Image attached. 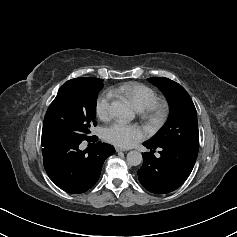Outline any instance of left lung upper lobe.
<instances>
[{
  "label": "left lung upper lobe",
  "instance_id": "5c2ea615",
  "mask_svg": "<svg viewBox=\"0 0 237 237\" xmlns=\"http://www.w3.org/2000/svg\"><path fill=\"white\" fill-rule=\"evenodd\" d=\"M148 80L158 86L165 94L170 105V115L161 130L146 142L156 147L198 146L197 112L187 91L168 78L152 77Z\"/></svg>",
  "mask_w": 237,
  "mask_h": 237
}]
</instances>
